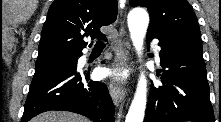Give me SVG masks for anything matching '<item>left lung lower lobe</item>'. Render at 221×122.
<instances>
[{
  "label": "left lung lower lobe",
  "mask_w": 221,
  "mask_h": 122,
  "mask_svg": "<svg viewBox=\"0 0 221 122\" xmlns=\"http://www.w3.org/2000/svg\"><path fill=\"white\" fill-rule=\"evenodd\" d=\"M153 38L161 47L163 85L152 84L144 122H215L202 49L148 30L147 42Z\"/></svg>",
  "instance_id": "1"
}]
</instances>
